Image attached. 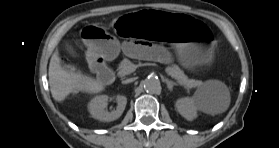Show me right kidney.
<instances>
[{
  "mask_svg": "<svg viewBox=\"0 0 279 148\" xmlns=\"http://www.w3.org/2000/svg\"><path fill=\"white\" fill-rule=\"evenodd\" d=\"M115 99L117 101L116 110L108 112L106 110L109 101V97L107 95H101L93 98L88 105V109L92 117L100 121L107 122L118 119L125 110L127 98L123 95H117Z\"/></svg>",
  "mask_w": 279,
  "mask_h": 148,
  "instance_id": "ca27d5eb",
  "label": "right kidney"
}]
</instances>
